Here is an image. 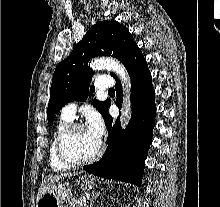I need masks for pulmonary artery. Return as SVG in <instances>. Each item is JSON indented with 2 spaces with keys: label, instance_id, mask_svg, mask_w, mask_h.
I'll list each match as a JSON object with an SVG mask.
<instances>
[{
  "label": "pulmonary artery",
  "instance_id": "1",
  "mask_svg": "<svg viewBox=\"0 0 220 207\" xmlns=\"http://www.w3.org/2000/svg\"><path fill=\"white\" fill-rule=\"evenodd\" d=\"M113 86H114V80L107 75L100 76L95 81V88L100 91L109 90L113 88ZM77 107L78 104L76 102H71L66 104L62 108V116L72 120L75 117Z\"/></svg>",
  "mask_w": 220,
  "mask_h": 207
}]
</instances>
